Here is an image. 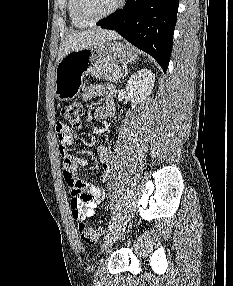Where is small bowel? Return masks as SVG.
<instances>
[{"mask_svg": "<svg viewBox=\"0 0 233 286\" xmlns=\"http://www.w3.org/2000/svg\"><path fill=\"white\" fill-rule=\"evenodd\" d=\"M95 97H103L104 103L96 109L94 117L97 120L110 118L115 113L113 89L109 85H90L82 93V99L89 101ZM57 138L59 141V153L63 158V175L66 186L72 196L71 209L75 219H84L93 215L95 208L104 199L105 191L81 179L77 175L79 167L87 165V159L69 152L68 147L73 144L74 137L71 128L63 123L56 124ZM98 157L101 164L100 180L106 182L111 170V151L107 146L98 149Z\"/></svg>", "mask_w": 233, "mask_h": 286, "instance_id": "1", "label": "small bowel"}]
</instances>
